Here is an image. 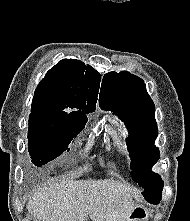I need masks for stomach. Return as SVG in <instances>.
I'll use <instances>...</instances> for the list:
<instances>
[{
  "label": "stomach",
  "instance_id": "1",
  "mask_svg": "<svg viewBox=\"0 0 190 221\" xmlns=\"http://www.w3.org/2000/svg\"><path fill=\"white\" fill-rule=\"evenodd\" d=\"M137 208H134L132 212H123V217H128L126 221H132L130 220L131 217H147V212H135Z\"/></svg>",
  "mask_w": 190,
  "mask_h": 221
}]
</instances>
